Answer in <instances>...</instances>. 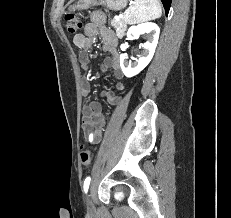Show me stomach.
<instances>
[{
	"label": "stomach",
	"instance_id": "0dacf381",
	"mask_svg": "<svg viewBox=\"0 0 231 218\" xmlns=\"http://www.w3.org/2000/svg\"><path fill=\"white\" fill-rule=\"evenodd\" d=\"M128 0H79L74 8L88 9L91 6L103 5L112 11H120L127 6Z\"/></svg>",
	"mask_w": 231,
	"mask_h": 218
}]
</instances>
